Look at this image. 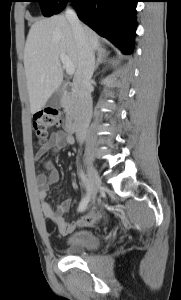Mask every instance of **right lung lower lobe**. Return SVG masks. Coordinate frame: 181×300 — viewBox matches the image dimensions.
Returning a JSON list of instances; mask_svg holds the SVG:
<instances>
[{
  "instance_id": "obj_1",
  "label": "right lung lower lobe",
  "mask_w": 181,
  "mask_h": 300,
  "mask_svg": "<svg viewBox=\"0 0 181 300\" xmlns=\"http://www.w3.org/2000/svg\"><path fill=\"white\" fill-rule=\"evenodd\" d=\"M67 2L73 3L81 21L112 41L123 53L132 52L138 0H66V4ZM65 7L66 5L56 14Z\"/></svg>"
}]
</instances>
